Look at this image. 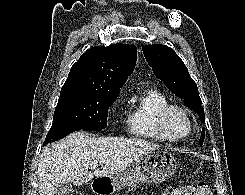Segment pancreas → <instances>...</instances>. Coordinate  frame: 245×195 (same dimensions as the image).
Instances as JSON below:
<instances>
[{"label": "pancreas", "mask_w": 245, "mask_h": 195, "mask_svg": "<svg viewBox=\"0 0 245 195\" xmlns=\"http://www.w3.org/2000/svg\"><path fill=\"white\" fill-rule=\"evenodd\" d=\"M133 190V189H132ZM134 190H136V185L134 186Z\"/></svg>", "instance_id": "pancreas-1"}]
</instances>
